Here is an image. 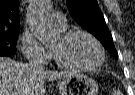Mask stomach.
<instances>
[{"label":"stomach","mask_w":135,"mask_h":95,"mask_svg":"<svg viewBox=\"0 0 135 95\" xmlns=\"http://www.w3.org/2000/svg\"><path fill=\"white\" fill-rule=\"evenodd\" d=\"M61 95H97L98 85L96 82L83 73H75L63 79L59 84Z\"/></svg>","instance_id":"1"}]
</instances>
